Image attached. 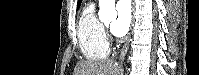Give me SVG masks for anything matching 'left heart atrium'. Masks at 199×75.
<instances>
[{
	"label": "left heart atrium",
	"mask_w": 199,
	"mask_h": 75,
	"mask_svg": "<svg viewBox=\"0 0 199 75\" xmlns=\"http://www.w3.org/2000/svg\"><path fill=\"white\" fill-rule=\"evenodd\" d=\"M117 17L111 25V31L116 37L124 36L131 24V8L129 1H119L116 5Z\"/></svg>",
	"instance_id": "39dd6f15"
}]
</instances>
